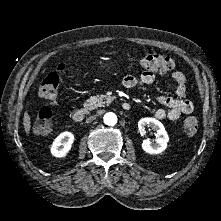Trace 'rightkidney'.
Returning <instances> with one entry per match:
<instances>
[{"label": "right kidney", "instance_id": "right-kidney-1", "mask_svg": "<svg viewBox=\"0 0 221 221\" xmlns=\"http://www.w3.org/2000/svg\"><path fill=\"white\" fill-rule=\"evenodd\" d=\"M74 142V135L71 132L60 133L51 146V154L54 157L62 158L65 157L70 151Z\"/></svg>", "mask_w": 221, "mask_h": 221}]
</instances>
